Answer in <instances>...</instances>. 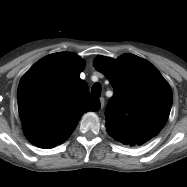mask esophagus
<instances>
[{
	"label": "esophagus",
	"mask_w": 187,
	"mask_h": 187,
	"mask_svg": "<svg viewBox=\"0 0 187 187\" xmlns=\"http://www.w3.org/2000/svg\"><path fill=\"white\" fill-rule=\"evenodd\" d=\"M99 100H100V107L102 109L104 107L105 100L103 97H101Z\"/></svg>",
	"instance_id": "34e87169"
}]
</instances>
